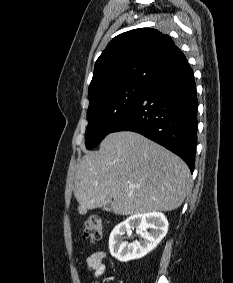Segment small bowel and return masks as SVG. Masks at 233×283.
<instances>
[{"label":"small bowel","mask_w":233,"mask_h":283,"mask_svg":"<svg viewBox=\"0 0 233 283\" xmlns=\"http://www.w3.org/2000/svg\"><path fill=\"white\" fill-rule=\"evenodd\" d=\"M106 257L107 254L103 251L95 252L88 257L87 266L93 272L95 278H98L104 273L106 269L104 264Z\"/></svg>","instance_id":"small-bowel-1"}]
</instances>
